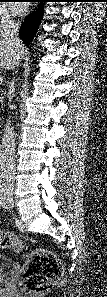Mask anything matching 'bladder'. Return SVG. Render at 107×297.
<instances>
[{
	"label": "bladder",
	"mask_w": 107,
	"mask_h": 297,
	"mask_svg": "<svg viewBox=\"0 0 107 297\" xmlns=\"http://www.w3.org/2000/svg\"><path fill=\"white\" fill-rule=\"evenodd\" d=\"M3 278H4V274H3V272H2L1 269H0V281H2Z\"/></svg>",
	"instance_id": "1"
}]
</instances>
